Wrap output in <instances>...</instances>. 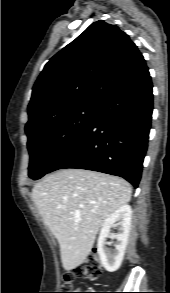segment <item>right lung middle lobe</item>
I'll return each instance as SVG.
<instances>
[{
	"instance_id": "1",
	"label": "right lung middle lobe",
	"mask_w": 170,
	"mask_h": 293,
	"mask_svg": "<svg viewBox=\"0 0 170 293\" xmlns=\"http://www.w3.org/2000/svg\"><path fill=\"white\" fill-rule=\"evenodd\" d=\"M99 105L83 104L65 110L26 129L30 154L29 177L37 180L48 173L54 161L94 121Z\"/></svg>"
}]
</instances>
